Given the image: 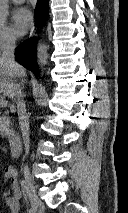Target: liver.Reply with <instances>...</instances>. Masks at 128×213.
Returning <instances> with one entry per match:
<instances>
[{
  "instance_id": "liver-1",
  "label": "liver",
  "mask_w": 128,
  "mask_h": 213,
  "mask_svg": "<svg viewBox=\"0 0 128 213\" xmlns=\"http://www.w3.org/2000/svg\"><path fill=\"white\" fill-rule=\"evenodd\" d=\"M25 77L26 72L24 68H22L21 75L19 77H14L11 73L10 67L0 58V93L10 97V92L17 81H24Z\"/></svg>"
}]
</instances>
